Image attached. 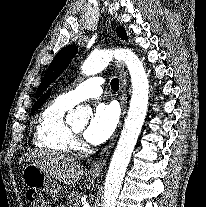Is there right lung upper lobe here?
<instances>
[{
	"mask_svg": "<svg viewBox=\"0 0 206 207\" xmlns=\"http://www.w3.org/2000/svg\"><path fill=\"white\" fill-rule=\"evenodd\" d=\"M49 93H50V91L48 92V94L44 95L38 102H36L35 105L32 107V109H35V108H38L39 106H41L44 103V101L46 100Z\"/></svg>",
	"mask_w": 206,
	"mask_h": 207,
	"instance_id": "cb5924a9",
	"label": "right lung upper lobe"
}]
</instances>
